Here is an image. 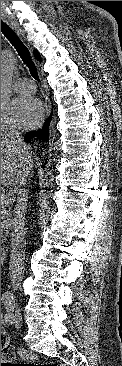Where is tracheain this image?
<instances>
[{
    "label": "trachea",
    "instance_id": "3493384b",
    "mask_svg": "<svg viewBox=\"0 0 122 366\" xmlns=\"http://www.w3.org/2000/svg\"><path fill=\"white\" fill-rule=\"evenodd\" d=\"M1 32L14 46V48L18 52L19 56L22 58L23 62L29 67L31 76L35 80L40 81L37 68L31 60V56H30L28 48L21 41V39L16 35V33L2 20H1Z\"/></svg>",
    "mask_w": 122,
    "mask_h": 366
}]
</instances>
